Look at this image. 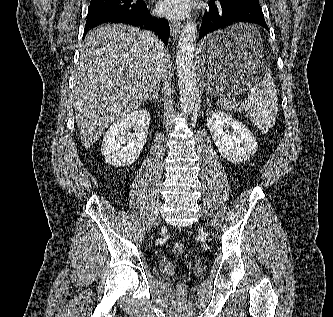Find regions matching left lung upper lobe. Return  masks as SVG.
Segmentation results:
<instances>
[{
  "instance_id": "5c2ea615",
  "label": "left lung upper lobe",
  "mask_w": 333,
  "mask_h": 317,
  "mask_svg": "<svg viewBox=\"0 0 333 317\" xmlns=\"http://www.w3.org/2000/svg\"><path fill=\"white\" fill-rule=\"evenodd\" d=\"M236 1H251V2H253V1H258V0H236Z\"/></svg>"
}]
</instances>
